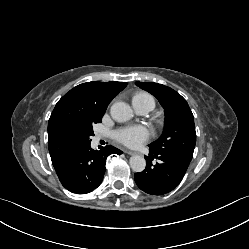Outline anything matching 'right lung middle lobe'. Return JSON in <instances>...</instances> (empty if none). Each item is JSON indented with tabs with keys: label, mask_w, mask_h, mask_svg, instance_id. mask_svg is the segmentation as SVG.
<instances>
[{
	"label": "right lung middle lobe",
	"mask_w": 249,
	"mask_h": 249,
	"mask_svg": "<svg viewBox=\"0 0 249 249\" xmlns=\"http://www.w3.org/2000/svg\"><path fill=\"white\" fill-rule=\"evenodd\" d=\"M93 135H94V133H93L92 126L81 131V133L79 135V139H78L79 147L90 144V142H91L90 137Z\"/></svg>",
	"instance_id": "dd1d6c3e"
}]
</instances>
